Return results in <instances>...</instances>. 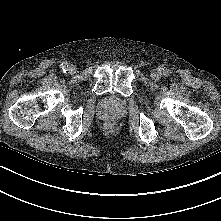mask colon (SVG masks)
<instances>
[{
  "label": "colon",
  "instance_id": "1",
  "mask_svg": "<svg viewBox=\"0 0 221 221\" xmlns=\"http://www.w3.org/2000/svg\"><path fill=\"white\" fill-rule=\"evenodd\" d=\"M107 126H108L109 128L113 127V122H109V123L107 124Z\"/></svg>",
  "mask_w": 221,
  "mask_h": 221
}]
</instances>
